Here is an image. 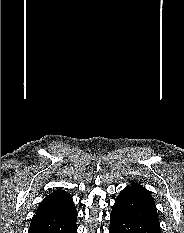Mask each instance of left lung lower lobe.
Returning <instances> with one entry per match:
<instances>
[{"instance_id":"1","label":"left lung lower lobe","mask_w":184,"mask_h":233,"mask_svg":"<svg viewBox=\"0 0 184 233\" xmlns=\"http://www.w3.org/2000/svg\"><path fill=\"white\" fill-rule=\"evenodd\" d=\"M109 233H161L158 215L138 194L123 190L112 208Z\"/></svg>"}]
</instances>
